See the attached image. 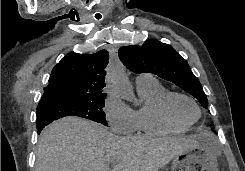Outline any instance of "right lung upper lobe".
<instances>
[{
    "label": "right lung upper lobe",
    "instance_id": "1",
    "mask_svg": "<svg viewBox=\"0 0 245 171\" xmlns=\"http://www.w3.org/2000/svg\"><path fill=\"white\" fill-rule=\"evenodd\" d=\"M106 50L94 54L68 53L53 68L39 103L49 99L87 98L105 94Z\"/></svg>",
    "mask_w": 245,
    "mask_h": 171
}]
</instances>
